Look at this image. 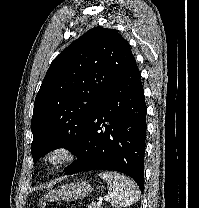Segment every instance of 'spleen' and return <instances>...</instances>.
<instances>
[{"label":"spleen","instance_id":"obj_1","mask_svg":"<svg viewBox=\"0 0 199 208\" xmlns=\"http://www.w3.org/2000/svg\"><path fill=\"white\" fill-rule=\"evenodd\" d=\"M99 176L108 185V195L114 208L130 206L139 200L140 192L130 178L110 171L101 172Z\"/></svg>","mask_w":199,"mask_h":208}]
</instances>
